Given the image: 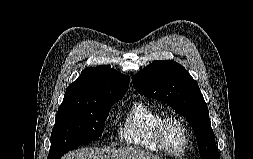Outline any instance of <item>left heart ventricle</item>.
Here are the masks:
<instances>
[{
	"mask_svg": "<svg viewBox=\"0 0 253 159\" xmlns=\"http://www.w3.org/2000/svg\"><path fill=\"white\" fill-rule=\"evenodd\" d=\"M164 139L166 146L173 152H179L184 145L182 129L175 122H170L166 126Z\"/></svg>",
	"mask_w": 253,
	"mask_h": 159,
	"instance_id": "left-heart-ventricle-1",
	"label": "left heart ventricle"
}]
</instances>
